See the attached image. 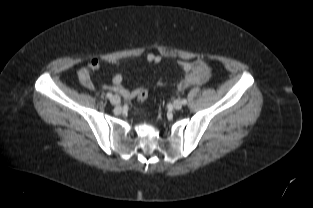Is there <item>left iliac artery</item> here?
Segmentation results:
<instances>
[{
	"instance_id": "obj_1",
	"label": "left iliac artery",
	"mask_w": 313,
	"mask_h": 208,
	"mask_svg": "<svg viewBox=\"0 0 313 208\" xmlns=\"http://www.w3.org/2000/svg\"><path fill=\"white\" fill-rule=\"evenodd\" d=\"M181 102H182V104H184V105L187 104V100H186V99H182Z\"/></svg>"
}]
</instances>
